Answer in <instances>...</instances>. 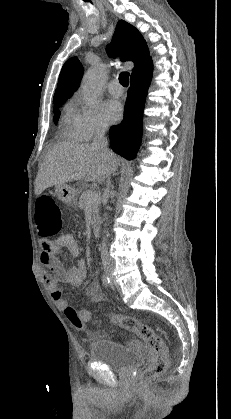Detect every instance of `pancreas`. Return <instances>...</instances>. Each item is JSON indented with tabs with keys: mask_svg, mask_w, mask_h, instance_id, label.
Masks as SVG:
<instances>
[{
	"mask_svg": "<svg viewBox=\"0 0 231 419\" xmlns=\"http://www.w3.org/2000/svg\"><path fill=\"white\" fill-rule=\"evenodd\" d=\"M89 192L91 191L86 190L81 194L79 201L77 202V205L79 208H85L87 205L90 204L92 207V220L94 221L99 214V206L101 204V200L100 198H97L96 200L89 203L88 198H87V194Z\"/></svg>",
	"mask_w": 231,
	"mask_h": 419,
	"instance_id": "pancreas-1",
	"label": "pancreas"
}]
</instances>
